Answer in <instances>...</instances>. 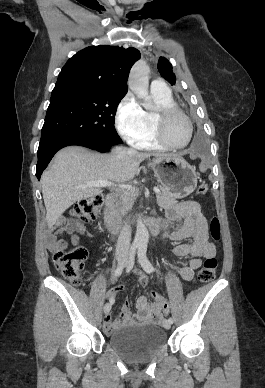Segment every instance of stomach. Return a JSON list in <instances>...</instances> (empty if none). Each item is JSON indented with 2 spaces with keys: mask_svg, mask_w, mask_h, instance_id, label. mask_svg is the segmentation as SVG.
Returning a JSON list of instances; mask_svg holds the SVG:
<instances>
[{
  "mask_svg": "<svg viewBox=\"0 0 265 388\" xmlns=\"http://www.w3.org/2000/svg\"><path fill=\"white\" fill-rule=\"evenodd\" d=\"M152 169L162 187L175 198L188 196L197 186L195 168L181 156L156 157L152 160Z\"/></svg>",
  "mask_w": 265,
  "mask_h": 388,
  "instance_id": "0dacf381",
  "label": "stomach"
}]
</instances>
